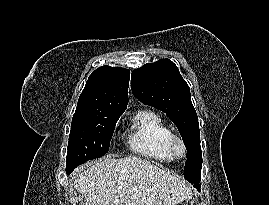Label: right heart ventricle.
Returning <instances> with one entry per match:
<instances>
[{
	"label": "right heart ventricle",
	"instance_id": "right-heart-ventricle-1",
	"mask_svg": "<svg viewBox=\"0 0 269 205\" xmlns=\"http://www.w3.org/2000/svg\"><path fill=\"white\" fill-rule=\"evenodd\" d=\"M171 128L162 117L151 110H140L133 118L127 134L130 150L151 161L172 162L175 156L169 149Z\"/></svg>",
	"mask_w": 269,
	"mask_h": 205
}]
</instances>
